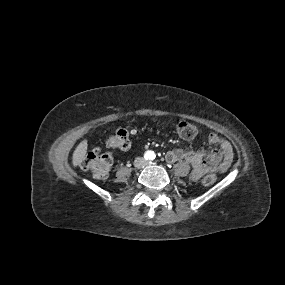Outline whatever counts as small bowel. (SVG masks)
Wrapping results in <instances>:
<instances>
[{
	"label": "small bowel",
	"mask_w": 285,
	"mask_h": 285,
	"mask_svg": "<svg viewBox=\"0 0 285 285\" xmlns=\"http://www.w3.org/2000/svg\"><path fill=\"white\" fill-rule=\"evenodd\" d=\"M208 141L218 148L208 152L172 149L167 152L166 159L169 162L181 160L189 162L192 165L191 176L193 179H199L205 172L211 170L227 171L233 159L231 144L216 134H210Z\"/></svg>",
	"instance_id": "obj_1"
}]
</instances>
